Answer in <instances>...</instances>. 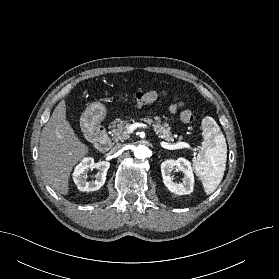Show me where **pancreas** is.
Instances as JSON below:
<instances>
[{
  "mask_svg": "<svg viewBox=\"0 0 279 279\" xmlns=\"http://www.w3.org/2000/svg\"><path fill=\"white\" fill-rule=\"evenodd\" d=\"M144 121L153 126L154 131L159 138L164 139L168 142L174 141L169 124H161L160 117L156 116L154 117V120L145 118ZM126 125L127 121L121 120L120 118H117L113 122H111L110 129L112 132V138L115 141H124L129 138V133L127 131Z\"/></svg>",
  "mask_w": 279,
  "mask_h": 279,
  "instance_id": "1",
  "label": "pancreas"
}]
</instances>
